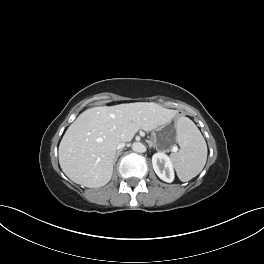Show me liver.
<instances>
[{
  "label": "liver",
  "instance_id": "obj_1",
  "mask_svg": "<svg viewBox=\"0 0 264 264\" xmlns=\"http://www.w3.org/2000/svg\"><path fill=\"white\" fill-rule=\"evenodd\" d=\"M175 112L156 103L136 102L87 109L66 130L59 145L65 175L88 188L106 185L113 173L117 145L140 130L165 125Z\"/></svg>",
  "mask_w": 264,
  "mask_h": 264
}]
</instances>
